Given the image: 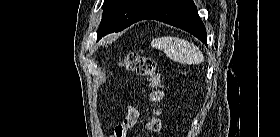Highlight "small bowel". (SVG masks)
<instances>
[{"mask_svg": "<svg viewBox=\"0 0 280 137\" xmlns=\"http://www.w3.org/2000/svg\"><path fill=\"white\" fill-rule=\"evenodd\" d=\"M138 117L139 111L135 107L129 106L126 109L125 117L121 123L127 125L128 128H131L136 124Z\"/></svg>", "mask_w": 280, "mask_h": 137, "instance_id": "1", "label": "small bowel"}]
</instances>
